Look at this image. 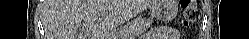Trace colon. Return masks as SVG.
Returning a JSON list of instances; mask_svg holds the SVG:
<instances>
[{"instance_id":"1","label":"colon","mask_w":249,"mask_h":39,"mask_svg":"<svg viewBox=\"0 0 249 39\" xmlns=\"http://www.w3.org/2000/svg\"><path fill=\"white\" fill-rule=\"evenodd\" d=\"M182 25L187 27L195 23L199 18V9L194 0L181 1Z\"/></svg>"}]
</instances>
